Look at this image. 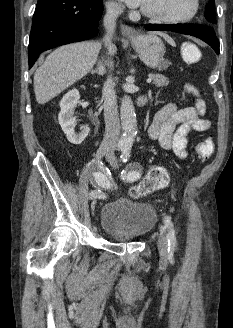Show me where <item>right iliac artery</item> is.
I'll return each instance as SVG.
<instances>
[{
    "mask_svg": "<svg viewBox=\"0 0 233 328\" xmlns=\"http://www.w3.org/2000/svg\"><path fill=\"white\" fill-rule=\"evenodd\" d=\"M90 164L92 169L97 170L94 172L93 178L91 179V183L97 187V189L90 193L89 198L105 199L107 198V195L103 192V190L106 191L115 189V185L109 176L110 173L107 169H105L102 161L100 160H93Z\"/></svg>",
    "mask_w": 233,
    "mask_h": 328,
    "instance_id": "obj_1",
    "label": "right iliac artery"
}]
</instances>
